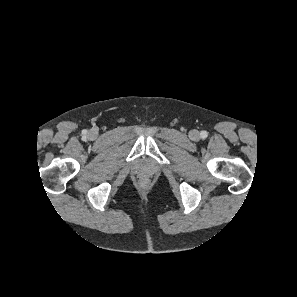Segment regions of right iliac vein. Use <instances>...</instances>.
<instances>
[{"label": "right iliac vein", "instance_id": "right-iliac-vein-1", "mask_svg": "<svg viewBox=\"0 0 297 297\" xmlns=\"http://www.w3.org/2000/svg\"><path fill=\"white\" fill-rule=\"evenodd\" d=\"M90 137H91V138L96 137V132H95V131H91V132H90Z\"/></svg>", "mask_w": 297, "mask_h": 297}]
</instances>
